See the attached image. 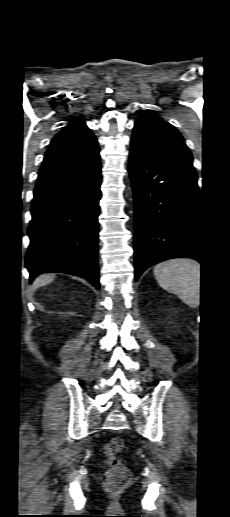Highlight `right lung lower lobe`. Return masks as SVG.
Here are the masks:
<instances>
[{"instance_id": "98d812e1", "label": "right lung lower lobe", "mask_w": 230, "mask_h": 517, "mask_svg": "<svg viewBox=\"0 0 230 517\" xmlns=\"http://www.w3.org/2000/svg\"><path fill=\"white\" fill-rule=\"evenodd\" d=\"M100 185L98 164L77 177L36 186L26 254L31 281L41 273H67L83 277L99 288Z\"/></svg>"}]
</instances>
